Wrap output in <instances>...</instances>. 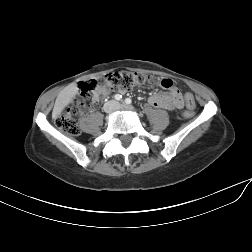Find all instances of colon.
<instances>
[{
    "label": "colon",
    "mask_w": 252,
    "mask_h": 252,
    "mask_svg": "<svg viewBox=\"0 0 252 252\" xmlns=\"http://www.w3.org/2000/svg\"><path fill=\"white\" fill-rule=\"evenodd\" d=\"M156 79L142 72L121 71L105 75L99 80L83 82L79 85L78 94L72 105L61 112L55 119L56 126L70 136H77L80 129L75 117L82 114L89 106L97 103V98L103 92H127L135 86L155 84ZM165 88H170L172 84L168 81L163 83ZM187 93L185 95L186 110L183 115L191 117L194 114L195 101Z\"/></svg>",
    "instance_id": "5ec220e1"
}]
</instances>
